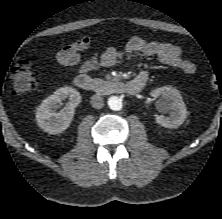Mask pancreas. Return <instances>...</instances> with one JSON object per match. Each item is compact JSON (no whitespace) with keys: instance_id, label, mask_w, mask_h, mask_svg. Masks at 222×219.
Listing matches in <instances>:
<instances>
[{"instance_id":"pancreas-1","label":"pancreas","mask_w":222,"mask_h":219,"mask_svg":"<svg viewBox=\"0 0 222 219\" xmlns=\"http://www.w3.org/2000/svg\"><path fill=\"white\" fill-rule=\"evenodd\" d=\"M103 83V80L102 79H94V85L95 87H98L99 85H101Z\"/></svg>"}]
</instances>
